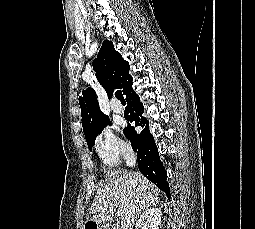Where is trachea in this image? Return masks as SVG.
<instances>
[{
	"label": "trachea",
	"instance_id": "1",
	"mask_svg": "<svg viewBox=\"0 0 255 229\" xmlns=\"http://www.w3.org/2000/svg\"><path fill=\"white\" fill-rule=\"evenodd\" d=\"M115 96H116V98L119 99L120 101H125L124 96H123L121 90H117V91L115 92Z\"/></svg>",
	"mask_w": 255,
	"mask_h": 229
}]
</instances>
